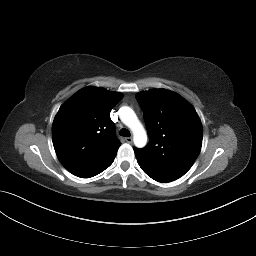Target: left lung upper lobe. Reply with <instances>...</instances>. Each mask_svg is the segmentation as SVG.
I'll use <instances>...</instances> for the list:
<instances>
[{"instance_id": "obj_1", "label": "left lung upper lobe", "mask_w": 256, "mask_h": 256, "mask_svg": "<svg viewBox=\"0 0 256 256\" xmlns=\"http://www.w3.org/2000/svg\"><path fill=\"white\" fill-rule=\"evenodd\" d=\"M150 137L143 149L134 148L142 170L176 180L193 165L202 146V124L195 109L180 95L154 89L136 94Z\"/></svg>"}]
</instances>
